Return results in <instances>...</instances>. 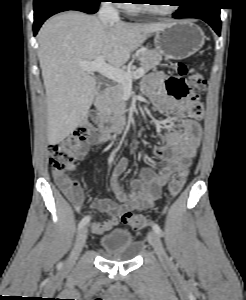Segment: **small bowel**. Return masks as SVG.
Returning a JSON list of instances; mask_svg holds the SVG:
<instances>
[{"mask_svg": "<svg viewBox=\"0 0 246 300\" xmlns=\"http://www.w3.org/2000/svg\"><path fill=\"white\" fill-rule=\"evenodd\" d=\"M142 91L159 112L167 114L177 123L178 129H164L161 133L163 141L159 145L144 143V146L150 148L163 164L158 171L152 168L141 169L138 177L132 180L129 192L124 191L120 183V177L128 161L123 158L117 162L111 175V187L119 203L100 198L95 199L91 205L93 210L109 215L108 219L92 224V232L97 235L115 227L125 211L151 209L172 174L180 167L190 165L201 141L202 131L197 120L199 117L190 114L195 100L187 93V83L183 79L155 72L145 78ZM110 139V134L100 133L91 139L89 145L99 146L109 142ZM86 153L84 150L79 158H84ZM53 176L64 195L79 211L84 203L79 183L64 172L53 171Z\"/></svg>", "mask_w": 246, "mask_h": 300, "instance_id": "obj_1", "label": "small bowel"}]
</instances>
